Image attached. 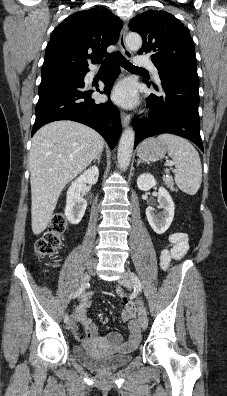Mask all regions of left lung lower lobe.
Masks as SVG:
<instances>
[{
    "label": "left lung lower lobe",
    "instance_id": "0a47b994",
    "mask_svg": "<svg viewBox=\"0 0 227 396\" xmlns=\"http://www.w3.org/2000/svg\"><path fill=\"white\" fill-rule=\"evenodd\" d=\"M159 76L165 95L151 94L146 99L151 108L150 115L133 121L134 148L145 138L172 133L191 140L203 151L198 113L199 79L168 72ZM154 88L158 90L156 86Z\"/></svg>",
    "mask_w": 227,
    "mask_h": 396
}]
</instances>
